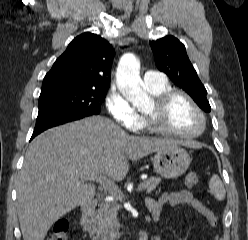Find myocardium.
I'll return each mask as SVG.
<instances>
[{"label":"myocardium","instance_id":"myocardium-1","mask_svg":"<svg viewBox=\"0 0 248 240\" xmlns=\"http://www.w3.org/2000/svg\"><path fill=\"white\" fill-rule=\"evenodd\" d=\"M178 96L185 98L191 104V106L195 109V111L198 113L201 119V122H202L201 128L199 130L195 132H191V133H181V132L173 131L170 129H166L161 125L158 119L159 116L162 113H164V111L169 106L170 102L175 97H178ZM145 116H146L147 126L151 131L159 135L175 137V138L192 139V138L199 137L200 135L204 133V131L206 130V126H207L206 116L203 110L201 109V107L198 105V103L187 92L183 90H179V89H169L154 96L153 97V112L146 113Z\"/></svg>","mask_w":248,"mask_h":240}]
</instances>
